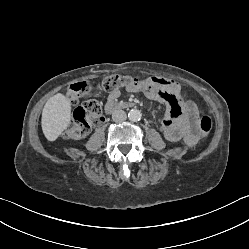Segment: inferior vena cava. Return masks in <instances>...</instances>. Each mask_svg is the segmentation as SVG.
<instances>
[{"label":"inferior vena cava","instance_id":"1","mask_svg":"<svg viewBox=\"0 0 249 249\" xmlns=\"http://www.w3.org/2000/svg\"><path fill=\"white\" fill-rule=\"evenodd\" d=\"M126 118H127V115H126L125 111H123V110L118 109L112 113V120L115 122L125 121Z\"/></svg>","mask_w":249,"mask_h":249}]
</instances>
